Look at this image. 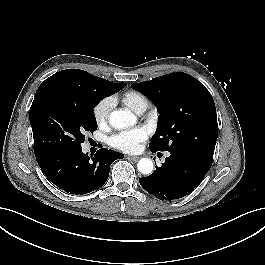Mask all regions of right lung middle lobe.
I'll list each match as a JSON object with an SVG mask.
<instances>
[{
	"mask_svg": "<svg viewBox=\"0 0 265 265\" xmlns=\"http://www.w3.org/2000/svg\"><path fill=\"white\" fill-rule=\"evenodd\" d=\"M93 82L91 89L80 95L46 87L36 91L29 117L34 138L35 156L80 148L87 133L97 129L93 108L106 96L118 92L99 82V77L86 73Z\"/></svg>",
	"mask_w": 265,
	"mask_h": 265,
	"instance_id": "dd1d6c3e",
	"label": "right lung middle lobe"
}]
</instances>
